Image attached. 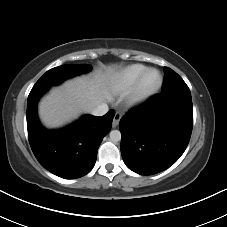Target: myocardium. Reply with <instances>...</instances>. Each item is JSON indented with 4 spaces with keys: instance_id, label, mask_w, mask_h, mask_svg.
<instances>
[{
    "instance_id": "1",
    "label": "myocardium",
    "mask_w": 227,
    "mask_h": 227,
    "mask_svg": "<svg viewBox=\"0 0 227 227\" xmlns=\"http://www.w3.org/2000/svg\"><path fill=\"white\" fill-rule=\"evenodd\" d=\"M150 72H156L158 74V81L155 86H153L150 89H145L143 87V82L145 77ZM163 85V75L162 73L156 69V68H147L145 69L142 74L139 76L138 80L136 81L134 87L129 91L127 95V104L132 107H137L145 102H147L149 99H151L154 95L158 93V91L161 89Z\"/></svg>"
}]
</instances>
